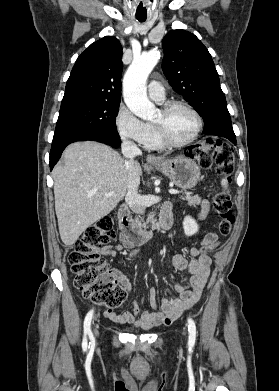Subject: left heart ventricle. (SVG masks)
Masks as SVG:
<instances>
[{
    "instance_id": "1",
    "label": "left heart ventricle",
    "mask_w": 279,
    "mask_h": 391,
    "mask_svg": "<svg viewBox=\"0 0 279 391\" xmlns=\"http://www.w3.org/2000/svg\"><path fill=\"white\" fill-rule=\"evenodd\" d=\"M162 119L169 137L177 142L187 140L196 130V118L184 107H175L166 117H163L159 111L153 122Z\"/></svg>"
}]
</instances>
